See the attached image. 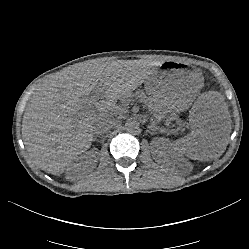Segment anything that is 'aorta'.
<instances>
[{
    "label": "aorta",
    "instance_id": "aorta-1",
    "mask_svg": "<svg viewBox=\"0 0 249 249\" xmlns=\"http://www.w3.org/2000/svg\"><path fill=\"white\" fill-rule=\"evenodd\" d=\"M139 122L137 119L133 118V117H130L126 120L125 122V129L129 132H134L136 131L137 129H139Z\"/></svg>",
    "mask_w": 249,
    "mask_h": 249
}]
</instances>
